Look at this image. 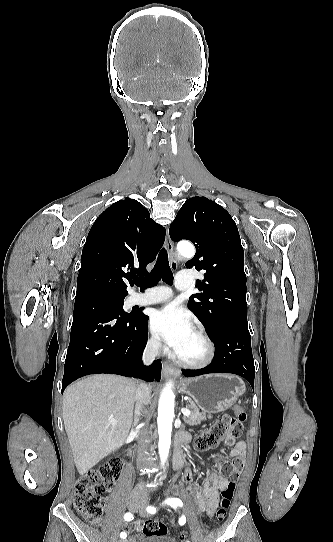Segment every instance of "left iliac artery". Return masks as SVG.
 Listing matches in <instances>:
<instances>
[{"instance_id":"1","label":"left iliac artery","mask_w":333,"mask_h":542,"mask_svg":"<svg viewBox=\"0 0 333 542\" xmlns=\"http://www.w3.org/2000/svg\"><path fill=\"white\" fill-rule=\"evenodd\" d=\"M165 503L169 504L170 506H180L182 507L183 506V503L180 499L178 498H168L167 500H165ZM147 511L151 514H155L156 513V508L154 507H147ZM186 523V517L185 516H182L180 519H179V524L180 525H184ZM189 542V541H187Z\"/></svg>"}]
</instances>
